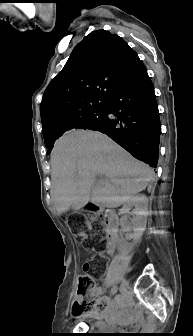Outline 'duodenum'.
Wrapping results in <instances>:
<instances>
[{"instance_id":"1","label":"duodenum","mask_w":193,"mask_h":336,"mask_svg":"<svg viewBox=\"0 0 193 336\" xmlns=\"http://www.w3.org/2000/svg\"><path fill=\"white\" fill-rule=\"evenodd\" d=\"M119 219L117 215L110 214L107 221V229H108V243H107V252L108 254H113L115 249V231L118 228Z\"/></svg>"}]
</instances>
